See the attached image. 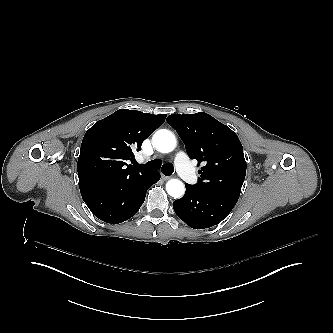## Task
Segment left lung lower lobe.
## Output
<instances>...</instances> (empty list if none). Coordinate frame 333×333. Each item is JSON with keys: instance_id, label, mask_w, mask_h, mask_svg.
Returning a JSON list of instances; mask_svg holds the SVG:
<instances>
[{"instance_id": "1", "label": "left lung lower lobe", "mask_w": 333, "mask_h": 333, "mask_svg": "<svg viewBox=\"0 0 333 333\" xmlns=\"http://www.w3.org/2000/svg\"><path fill=\"white\" fill-rule=\"evenodd\" d=\"M184 196L173 202L177 216L194 229H205L220 223L231 212L238 199L207 193L196 185L185 183Z\"/></svg>"}]
</instances>
